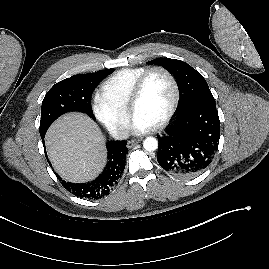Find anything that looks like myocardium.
I'll return each mask as SVG.
<instances>
[{"mask_svg":"<svg viewBox=\"0 0 269 269\" xmlns=\"http://www.w3.org/2000/svg\"><path fill=\"white\" fill-rule=\"evenodd\" d=\"M154 72L164 73L171 81V84L173 87V99H172V103L169 107V110L167 111L166 115L163 117V119L160 122H158L157 124L152 126V129L157 130V129L163 128L164 126H166L169 123V121L171 120V118L175 114L176 109L179 105V101H180V87H179L178 80H177L176 76L169 69H167L163 66H153V67L148 68L138 78V80L135 83V86L133 88V91L131 93L129 102H128V111L131 115H134L135 107L143 94L146 82H147L148 78L150 77V75Z\"/></svg>","mask_w":269,"mask_h":269,"instance_id":"f54148a6","label":"myocardium"}]
</instances>
